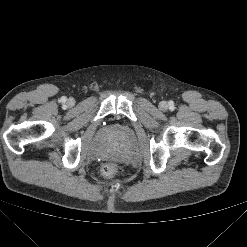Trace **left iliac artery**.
<instances>
[{
	"instance_id": "44dca946",
	"label": "left iliac artery",
	"mask_w": 247,
	"mask_h": 247,
	"mask_svg": "<svg viewBox=\"0 0 247 247\" xmlns=\"http://www.w3.org/2000/svg\"><path fill=\"white\" fill-rule=\"evenodd\" d=\"M174 104L173 103H170V108H173Z\"/></svg>"
}]
</instances>
